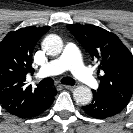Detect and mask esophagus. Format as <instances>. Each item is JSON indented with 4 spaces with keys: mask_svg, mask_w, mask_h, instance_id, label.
<instances>
[{
    "mask_svg": "<svg viewBox=\"0 0 133 133\" xmlns=\"http://www.w3.org/2000/svg\"><path fill=\"white\" fill-rule=\"evenodd\" d=\"M63 87L65 89H68V90H73L74 89V86H71V85H63Z\"/></svg>",
    "mask_w": 133,
    "mask_h": 133,
    "instance_id": "esophagus-1",
    "label": "esophagus"
}]
</instances>
